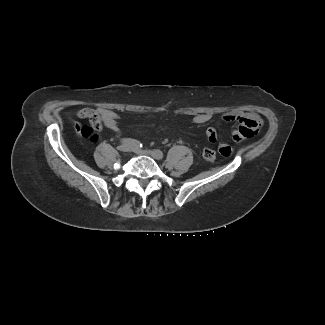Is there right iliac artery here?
<instances>
[{"instance_id": "obj_1", "label": "right iliac artery", "mask_w": 325, "mask_h": 325, "mask_svg": "<svg viewBox=\"0 0 325 325\" xmlns=\"http://www.w3.org/2000/svg\"><path fill=\"white\" fill-rule=\"evenodd\" d=\"M120 142L122 143V145H127L130 147H136V148L142 147V143L131 138L122 139Z\"/></svg>"}]
</instances>
